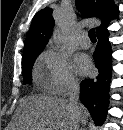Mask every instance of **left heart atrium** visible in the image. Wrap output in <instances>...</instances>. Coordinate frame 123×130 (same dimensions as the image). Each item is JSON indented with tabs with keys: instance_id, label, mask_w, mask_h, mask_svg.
Listing matches in <instances>:
<instances>
[{
	"instance_id": "1",
	"label": "left heart atrium",
	"mask_w": 123,
	"mask_h": 130,
	"mask_svg": "<svg viewBox=\"0 0 123 130\" xmlns=\"http://www.w3.org/2000/svg\"><path fill=\"white\" fill-rule=\"evenodd\" d=\"M75 63L77 70L79 71L80 74L83 75L87 74L92 68L90 59L85 55H80L76 57Z\"/></svg>"
}]
</instances>
